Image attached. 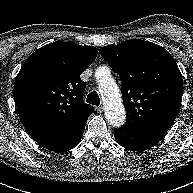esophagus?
<instances>
[{
	"instance_id": "obj_1",
	"label": "esophagus",
	"mask_w": 193,
	"mask_h": 193,
	"mask_svg": "<svg viewBox=\"0 0 193 193\" xmlns=\"http://www.w3.org/2000/svg\"><path fill=\"white\" fill-rule=\"evenodd\" d=\"M103 106L101 105V106H99V107H96V111L98 112V113H102L103 112Z\"/></svg>"
}]
</instances>
